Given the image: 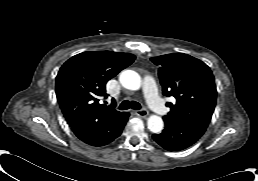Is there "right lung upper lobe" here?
<instances>
[{"label": "right lung upper lobe", "mask_w": 258, "mask_h": 181, "mask_svg": "<svg viewBox=\"0 0 258 181\" xmlns=\"http://www.w3.org/2000/svg\"><path fill=\"white\" fill-rule=\"evenodd\" d=\"M129 53L83 52L60 68L56 77V96L71 127L115 118L122 113L100 102L106 98V83L134 61ZM124 113V112H123Z\"/></svg>", "instance_id": "cb5924a9"}]
</instances>
